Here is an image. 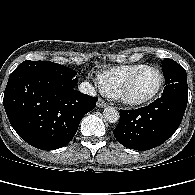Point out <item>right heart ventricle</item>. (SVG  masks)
<instances>
[{
  "instance_id": "1",
  "label": "right heart ventricle",
  "mask_w": 195,
  "mask_h": 195,
  "mask_svg": "<svg viewBox=\"0 0 195 195\" xmlns=\"http://www.w3.org/2000/svg\"><path fill=\"white\" fill-rule=\"evenodd\" d=\"M143 66V64L124 65L104 71L99 76L103 91L112 97H116L130 75Z\"/></svg>"
}]
</instances>
